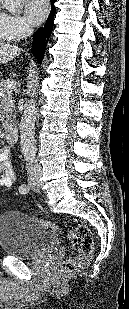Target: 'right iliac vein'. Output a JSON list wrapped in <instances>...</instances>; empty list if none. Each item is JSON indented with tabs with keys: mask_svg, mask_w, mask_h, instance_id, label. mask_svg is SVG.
I'll return each instance as SVG.
<instances>
[{
	"mask_svg": "<svg viewBox=\"0 0 129 309\" xmlns=\"http://www.w3.org/2000/svg\"><path fill=\"white\" fill-rule=\"evenodd\" d=\"M29 184H30V186L36 185L37 184V179L36 178H30L29 179Z\"/></svg>",
	"mask_w": 129,
	"mask_h": 309,
	"instance_id": "obj_1",
	"label": "right iliac vein"
}]
</instances>
